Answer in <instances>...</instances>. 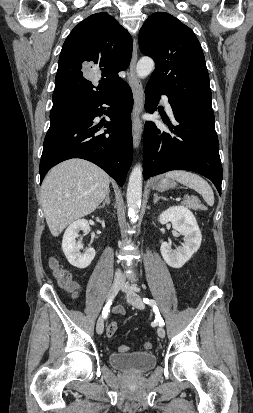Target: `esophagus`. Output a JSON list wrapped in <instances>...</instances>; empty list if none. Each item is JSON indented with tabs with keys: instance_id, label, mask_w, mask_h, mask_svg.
Listing matches in <instances>:
<instances>
[{
	"instance_id": "1",
	"label": "esophagus",
	"mask_w": 253,
	"mask_h": 413,
	"mask_svg": "<svg viewBox=\"0 0 253 413\" xmlns=\"http://www.w3.org/2000/svg\"><path fill=\"white\" fill-rule=\"evenodd\" d=\"M137 42L136 39L133 41V51H132V58L130 62V70L128 74V82L131 87L134 99V106L132 112V137H133V145L135 148H138L141 141L142 135V120H141V113L143 110L144 105V97H143V90L142 84L140 79L136 74V62H137Z\"/></svg>"
}]
</instances>
